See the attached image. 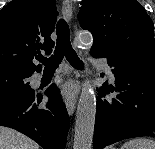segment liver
Segmentation results:
<instances>
[{
  "mask_svg": "<svg viewBox=\"0 0 155 149\" xmlns=\"http://www.w3.org/2000/svg\"><path fill=\"white\" fill-rule=\"evenodd\" d=\"M0 149H39V145L16 130L0 126Z\"/></svg>",
  "mask_w": 155,
  "mask_h": 149,
  "instance_id": "1",
  "label": "liver"
}]
</instances>
